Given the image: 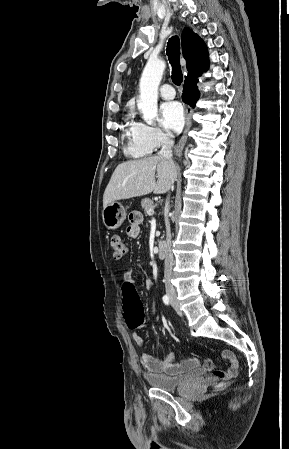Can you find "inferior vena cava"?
<instances>
[{
  "label": "inferior vena cava",
  "instance_id": "602c4592",
  "mask_svg": "<svg viewBox=\"0 0 289 449\" xmlns=\"http://www.w3.org/2000/svg\"><path fill=\"white\" fill-rule=\"evenodd\" d=\"M174 144V141L170 139L169 137H165L162 143V148L159 151L158 155L162 158H165L169 162L173 163L172 160V146ZM169 198L166 200V204L169 203ZM166 224V241H167V252L165 257V270H164V283L165 288L167 292H175V288L173 284L171 283V276H172V268L174 264V258L173 253L171 249V230H170V223L168 218L165 220Z\"/></svg>",
  "mask_w": 289,
  "mask_h": 449
}]
</instances>
